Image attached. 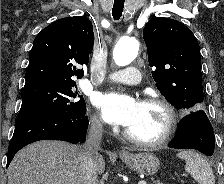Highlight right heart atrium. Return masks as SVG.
<instances>
[{"label":"right heart atrium","mask_w":224,"mask_h":184,"mask_svg":"<svg viewBox=\"0 0 224 184\" xmlns=\"http://www.w3.org/2000/svg\"><path fill=\"white\" fill-rule=\"evenodd\" d=\"M90 122H91V125H92L94 128H96V129H101L102 126H103L102 120H101L100 117L97 116V115H93V116L91 117Z\"/></svg>","instance_id":"d8ad5b80"}]
</instances>
